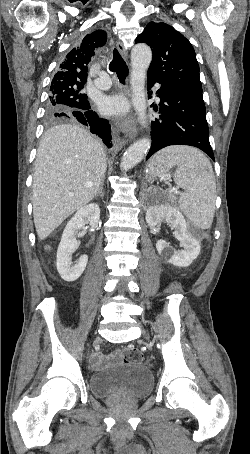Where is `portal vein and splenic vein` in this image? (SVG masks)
<instances>
[{
    "label": "portal vein and splenic vein",
    "instance_id": "18ae733b",
    "mask_svg": "<svg viewBox=\"0 0 250 454\" xmlns=\"http://www.w3.org/2000/svg\"><path fill=\"white\" fill-rule=\"evenodd\" d=\"M170 190H171V191H174V192H176V193H178L177 188H172V189H170Z\"/></svg>",
    "mask_w": 250,
    "mask_h": 454
}]
</instances>
